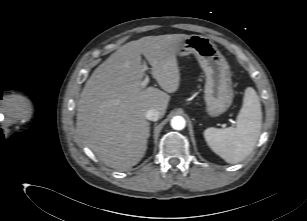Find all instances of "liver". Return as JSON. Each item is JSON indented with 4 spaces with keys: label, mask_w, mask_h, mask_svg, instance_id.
<instances>
[{
    "label": "liver",
    "mask_w": 307,
    "mask_h": 221,
    "mask_svg": "<svg viewBox=\"0 0 307 221\" xmlns=\"http://www.w3.org/2000/svg\"><path fill=\"white\" fill-rule=\"evenodd\" d=\"M185 34L146 36L119 47L86 82L77 103V134L111 168L135 166L145 155L149 109L166 113L180 85L176 55ZM144 55L159 86L141 88Z\"/></svg>",
    "instance_id": "obj_1"
}]
</instances>
